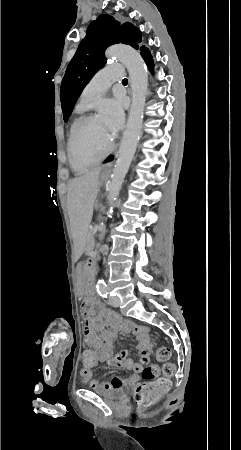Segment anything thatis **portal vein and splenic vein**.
Instances as JSON below:
<instances>
[{
	"instance_id": "obj_1",
	"label": "portal vein and splenic vein",
	"mask_w": 241,
	"mask_h": 450,
	"mask_svg": "<svg viewBox=\"0 0 241 450\" xmlns=\"http://www.w3.org/2000/svg\"><path fill=\"white\" fill-rule=\"evenodd\" d=\"M92 231L93 234L95 233L94 231H98V225L92 226Z\"/></svg>"
}]
</instances>
